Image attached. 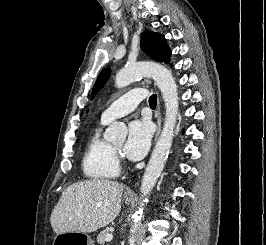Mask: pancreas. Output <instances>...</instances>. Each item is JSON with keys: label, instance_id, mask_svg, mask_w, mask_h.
Masks as SVG:
<instances>
[{"label": "pancreas", "instance_id": "obj_1", "mask_svg": "<svg viewBox=\"0 0 266 245\" xmlns=\"http://www.w3.org/2000/svg\"><path fill=\"white\" fill-rule=\"evenodd\" d=\"M106 235H112V231L110 229H105V231H100L96 241L99 243V245H104Z\"/></svg>", "mask_w": 266, "mask_h": 245}]
</instances>
